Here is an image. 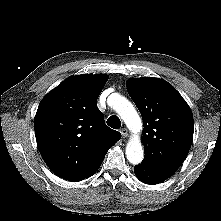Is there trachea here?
Listing matches in <instances>:
<instances>
[{"instance_id":"obj_1","label":"trachea","mask_w":221,"mask_h":221,"mask_svg":"<svg viewBox=\"0 0 221 221\" xmlns=\"http://www.w3.org/2000/svg\"><path fill=\"white\" fill-rule=\"evenodd\" d=\"M107 125L113 129H118L121 127V121L119 117H117L116 115H112L108 118Z\"/></svg>"}]
</instances>
